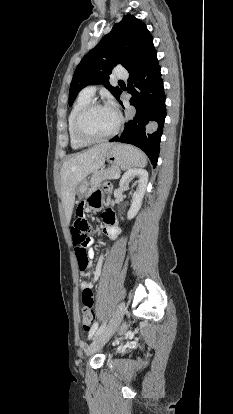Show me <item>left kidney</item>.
<instances>
[{"mask_svg": "<svg viewBox=\"0 0 233 414\" xmlns=\"http://www.w3.org/2000/svg\"><path fill=\"white\" fill-rule=\"evenodd\" d=\"M134 176H137L139 180H138V188L133 193L131 207L127 213V218L129 220L134 218L137 215L138 211L140 210L141 205H142V200H143V197L146 191L147 182H148V172L144 169L135 168V169H130L124 173V175L122 176L120 180L119 186L121 188H125L126 183L129 180V178L134 177Z\"/></svg>", "mask_w": 233, "mask_h": 414, "instance_id": "left-kidney-1", "label": "left kidney"}]
</instances>
